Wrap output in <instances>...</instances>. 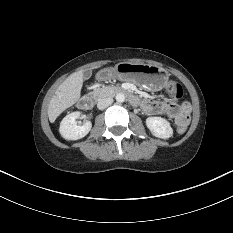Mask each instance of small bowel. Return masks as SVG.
<instances>
[{"instance_id":"c3829d8e","label":"small bowel","mask_w":233,"mask_h":233,"mask_svg":"<svg viewBox=\"0 0 233 233\" xmlns=\"http://www.w3.org/2000/svg\"><path fill=\"white\" fill-rule=\"evenodd\" d=\"M142 108L149 115L168 116L175 121L177 127L187 126L189 123L191 106L187 102L175 104L167 99L144 100Z\"/></svg>"}]
</instances>
